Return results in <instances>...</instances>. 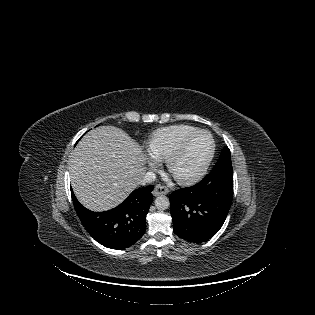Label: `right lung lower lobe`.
I'll return each instance as SVG.
<instances>
[{
    "label": "right lung lower lobe",
    "mask_w": 315,
    "mask_h": 315,
    "mask_svg": "<svg viewBox=\"0 0 315 315\" xmlns=\"http://www.w3.org/2000/svg\"><path fill=\"white\" fill-rule=\"evenodd\" d=\"M153 189L154 186L136 189L119 206L104 212L86 209L73 192L72 200L83 226L97 242L111 249H125L145 233Z\"/></svg>",
    "instance_id": "right-lung-lower-lobe-1"
}]
</instances>
